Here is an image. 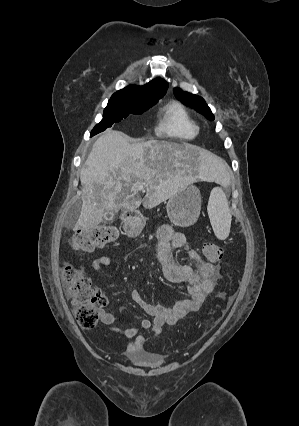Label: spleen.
I'll list each match as a JSON object with an SVG mask.
<instances>
[{
    "label": "spleen",
    "mask_w": 299,
    "mask_h": 426,
    "mask_svg": "<svg viewBox=\"0 0 299 426\" xmlns=\"http://www.w3.org/2000/svg\"><path fill=\"white\" fill-rule=\"evenodd\" d=\"M207 212L216 237L224 240L229 236L232 215L227 197L220 187H215L210 194Z\"/></svg>",
    "instance_id": "1"
}]
</instances>
